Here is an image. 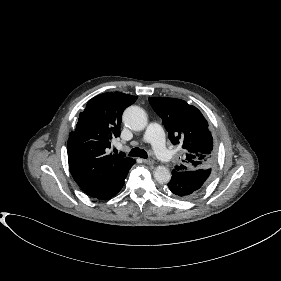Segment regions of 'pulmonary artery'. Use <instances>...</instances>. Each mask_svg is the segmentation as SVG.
Segmentation results:
<instances>
[{
    "label": "pulmonary artery",
    "mask_w": 281,
    "mask_h": 281,
    "mask_svg": "<svg viewBox=\"0 0 281 281\" xmlns=\"http://www.w3.org/2000/svg\"><path fill=\"white\" fill-rule=\"evenodd\" d=\"M143 140L152 145L155 154L161 160L165 162L173 161V154L166 147L164 132L160 124L150 123L144 133Z\"/></svg>",
    "instance_id": "pulmonary-artery-1"
}]
</instances>
